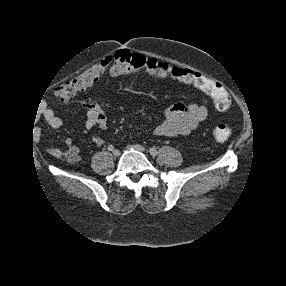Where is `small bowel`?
<instances>
[{
    "label": "small bowel",
    "mask_w": 286,
    "mask_h": 286,
    "mask_svg": "<svg viewBox=\"0 0 286 286\" xmlns=\"http://www.w3.org/2000/svg\"><path fill=\"white\" fill-rule=\"evenodd\" d=\"M84 106L86 109V128L98 127L104 131L107 128L108 120L101 106L97 103H86ZM43 115L51 128H58L63 123L62 118L52 109L45 110ZM206 117L207 108L203 104L197 102H189L187 105L178 104L165 112V119L155 127L154 133L161 137L186 136L196 130ZM92 142L96 146H101L104 144L105 138L102 135H97L92 138ZM65 145L69 161L79 162L81 159L79 147L70 138L66 139ZM52 154L57 156L60 151L53 150Z\"/></svg>",
    "instance_id": "obj_1"
}]
</instances>
